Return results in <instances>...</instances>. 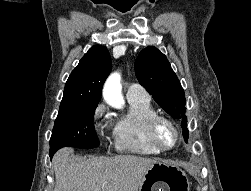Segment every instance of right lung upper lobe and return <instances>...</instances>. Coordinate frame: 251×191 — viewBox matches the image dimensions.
I'll use <instances>...</instances> for the list:
<instances>
[{"mask_svg":"<svg viewBox=\"0 0 251 191\" xmlns=\"http://www.w3.org/2000/svg\"><path fill=\"white\" fill-rule=\"evenodd\" d=\"M111 68L106 47L95 45L90 48L65 84L60 109L98 104L102 86Z\"/></svg>","mask_w":251,"mask_h":191,"instance_id":"1","label":"right lung upper lobe"}]
</instances>
